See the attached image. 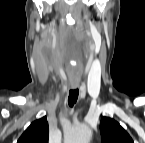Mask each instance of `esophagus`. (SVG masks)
Returning a JSON list of instances; mask_svg holds the SVG:
<instances>
[{
  "mask_svg": "<svg viewBox=\"0 0 145 143\" xmlns=\"http://www.w3.org/2000/svg\"><path fill=\"white\" fill-rule=\"evenodd\" d=\"M72 88H77V84H72Z\"/></svg>",
  "mask_w": 145,
  "mask_h": 143,
  "instance_id": "obj_1",
  "label": "esophagus"
}]
</instances>
